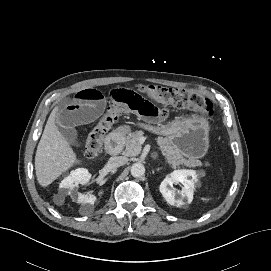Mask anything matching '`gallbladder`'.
Instances as JSON below:
<instances>
[{"mask_svg": "<svg viewBox=\"0 0 271 271\" xmlns=\"http://www.w3.org/2000/svg\"><path fill=\"white\" fill-rule=\"evenodd\" d=\"M58 128L69 144L74 145L76 147H79L81 145L78 139L77 131L73 127L65 126L64 122H62L59 117H58Z\"/></svg>", "mask_w": 271, "mask_h": 271, "instance_id": "obj_1", "label": "gallbladder"}]
</instances>
